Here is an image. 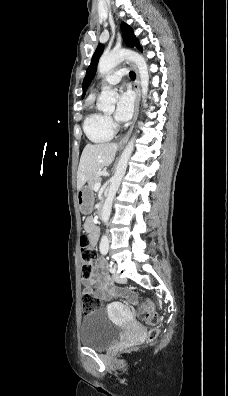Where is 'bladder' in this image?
<instances>
[{"instance_id":"bladder-1","label":"bladder","mask_w":228,"mask_h":396,"mask_svg":"<svg viewBox=\"0 0 228 396\" xmlns=\"http://www.w3.org/2000/svg\"><path fill=\"white\" fill-rule=\"evenodd\" d=\"M121 335V329L113 324L102 309L87 313L79 329L80 344L94 350H106Z\"/></svg>"}]
</instances>
